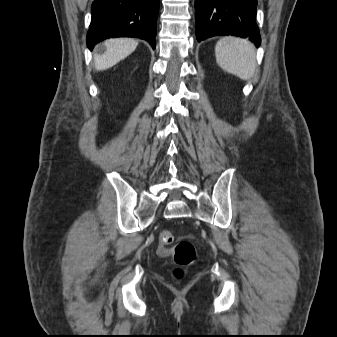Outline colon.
Wrapping results in <instances>:
<instances>
[{"label":"colon","instance_id":"1","mask_svg":"<svg viewBox=\"0 0 337 337\" xmlns=\"http://www.w3.org/2000/svg\"><path fill=\"white\" fill-rule=\"evenodd\" d=\"M173 242V234L168 230H162L158 235V249L161 253L171 252L174 260L179 265L190 264L196 259V251L193 244L187 240L180 241L174 246H171ZM177 277L182 276V271L176 269L174 271Z\"/></svg>","mask_w":337,"mask_h":337}]
</instances>
